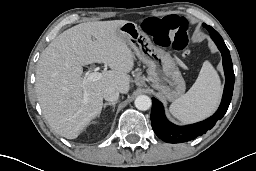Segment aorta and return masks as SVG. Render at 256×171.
I'll return each mask as SVG.
<instances>
[{"label": "aorta", "mask_w": 256, "mask_h": 171, "mask_svg": "<svg viewBox=\"0 0 256 171\" xmlns=\"http://www.w3.org/2000/svg\"><path fill=\"white\" fill-rule=\"evenodd\" d=\"M151 105L152 101L147 95H139L135 99V107L138 110L146 111L151 107Z\"/></svg>", "instance_id": "1"}]
</instances>
